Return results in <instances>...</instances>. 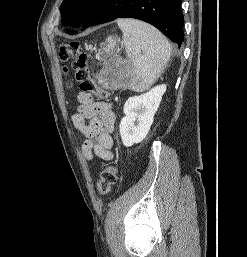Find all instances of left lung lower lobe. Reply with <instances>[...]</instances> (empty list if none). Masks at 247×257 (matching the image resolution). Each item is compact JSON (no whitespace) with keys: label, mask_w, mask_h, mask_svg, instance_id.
Masks as SVG:
<instances>
[{"label":"left lung lower lobe","mask_w":247,"mask_h":257,"mask_svg":"<svg viewBox=\"0 0 247 257\" xmlns=\"http://www.w3.org/2000/svg\"><path fill=\"white\" fill-rule=\"evenodd\" d=\"M181 1L100 0L82 24V30L117 18H136L152 24L180 47L184 40Z\"/></svg>","instance_id":"0a47b994"}]
</instances>
